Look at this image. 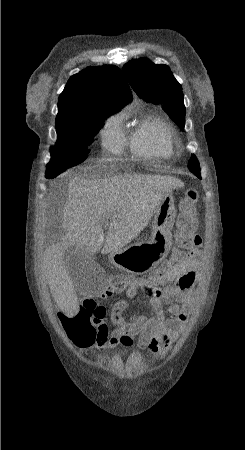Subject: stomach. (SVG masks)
<instances>
[{
	"mask_svg": "<svg viewBox=\"0 0 245 450\" xmlns=\"http://www.w3.org/2000/svg\"><path fill=\"white\" fill-rule=\"evenodd\" d=\"M176 210L173 194L167 192L156 209L150 240L138 242L117 252H111L110 262L131 274H144L155 269L169 254L171 230Z\"/></svg>",
	"mask_w": 245,
	"mask_h": 450,
	"instance_id": "stomach-1",
	"label": "stomach"
}]
</instances>
